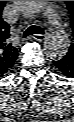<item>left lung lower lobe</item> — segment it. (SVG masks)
Returning a JSON list of instances; mask_svg holds the SVG:
<instances>
[{
    "label": "left lung lower lobe",
    "instance_id": "0a47b994",
    "mask_svg": "<svg viewBox=\"0 0 74 122\" xmlns=\"http://www.w3.org/2000/svg\"><path fill=\"white\" fill-rule=\"evenodd\" d=\"M53 63L64 76L74 78V56L67 53L61 59L53 61Z\"/></svg>",
    "mask_w": 74,
    "mask_h": 122
}]
</instances>
